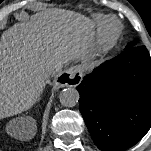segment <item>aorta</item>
<instances>
[{"instance_id": "obj_1", "label": "aorta", "mask_w": 151, "mask_h": 151, "mask_svg": "<svg viewBox=\"0 0 151 151\" xmlns=\"http://www.w3.org/2000/svg\"><path fill=\"white\" fill-rule=\"evenodd\" d=\"M79 92L74 88H65L60 92V103L65 107H74L79 101Z\"/></svg>"}]
</instances>
